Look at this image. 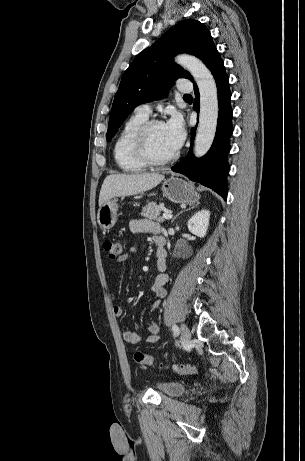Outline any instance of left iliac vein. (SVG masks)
<instances>
[{
    "instance_id": "left-iliac-vein-1",
    "label": "left iliac vein",
    "mask_w": 305,
    "mask_h": 461,
    "mask_svg": "<svg viewBox=\"0 0 305 461\" xmlns=\"http://www.w3.org/2000/svg\"><path fill=\"white\" fill-rule=\"evenodd\" d=\"M190 339H191V332L189 328L185 324H182L181 325V341L183 343H188Z\"/></svg>"
}]
</instances>
